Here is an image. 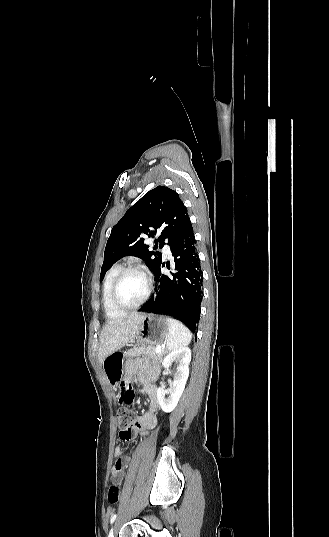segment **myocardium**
Here are the masks:
<instances>
[{
    "mask_svg": "<svg viewBox=\"0 0 329 537\" xmlns=\"http://www.w3.org/2000/svg\"><path fill=\"white\" fill-rule=\"evenodd\" d=\"M133 271L140 272L141 274L144 275L147 281V288H146L145 294L137 303L133 305H125L119 300V297H118L119 285L123 277L127 273L133 272ZM152 289H153V279H152L151 274L141 265H136V264L128 265V266L122 267L114 279L112 289H111V301H112V304L121 311L134 310L140 307L142 304H144L147 301V299L149 298L152 292Z\"/></svg>",
    "mask_w": 329,
    "mask_h": 537,
    "instance_id": "myocardium-1",
    "label": "myocardium"
}]
</instances>
